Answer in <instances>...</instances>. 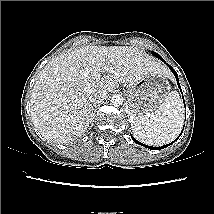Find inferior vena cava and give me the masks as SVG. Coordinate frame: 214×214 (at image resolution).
<instances>
[{
    "label": "inferior vena cava",
    "instance_id": "obj_1",
    "mask_svg": "<svg viewBox=\"0 0 214 214\" xmlns=\"http://www.w3.org/2000/svg\"><path fill=\"white\" fill-rule=\"evenodd\" d=\"M107 99V92L104 90H98L89 94V101L96 105Z\"/></svg>",
    "mask_w": 214,
    "mask_h": 214
}]
</instances>
